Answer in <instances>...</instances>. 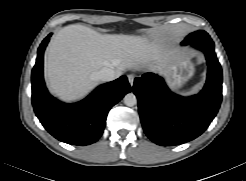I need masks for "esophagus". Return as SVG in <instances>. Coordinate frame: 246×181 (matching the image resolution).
Segmentation results:
<instances>
[{
    "label": "esophagus",
    "instance_id": "obj_1",
    "mask_svg": "<svg viewBox=\"0 0 246 181\" xmlns=\"http://www.w3.org/2000/svg\"><path fill=\"white\" fill-rule=\"evenodd\" d=\"M127 78H128V81H129L130 86L132 87L133 86V83H134L135 75L134 74H129L127 76Z\"/></svg>",
    "mask_w": 246,
    "mask_h": 181
}]
</instances>
